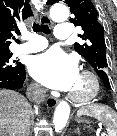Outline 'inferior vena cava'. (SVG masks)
I'll return each instance as SVG.
<instances>
[{"label":"inferior vena cava","instance_id":"obj_1","mask_svg":"<svg viewBox=\"0 0 117 136\" xmlns=\"http://www.w3.org/2000/svg\"><path fill=\"white\" fill-rule=\"evenodd\" d=\"M29 100L36 103H42L46 98V89L39 84H32L27 90Z\"/></svg>","mask_w":117,"mask_h":136}]
</instances>
